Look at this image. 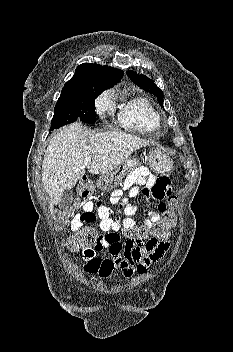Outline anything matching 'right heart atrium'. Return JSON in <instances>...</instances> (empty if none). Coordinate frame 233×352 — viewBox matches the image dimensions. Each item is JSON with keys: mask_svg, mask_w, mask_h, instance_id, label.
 Instances as JSON below:
<instances>
[{"mask_svg": "<svg viewBox=\"0 0 233 352\" xmlns=\"http://www.w3.org/2000/svg\"><path fill=\"white\" fill-rule=\"evenodd\" d=\"M96 112L100 116L110 113L113 109V99L109 92H104L96 99Z\"/></svg>", "mask_w": 233, "mask_h": 352, "instance_id": "obj_1", "label": "right heart atrium"}]
</instances>
